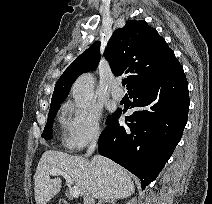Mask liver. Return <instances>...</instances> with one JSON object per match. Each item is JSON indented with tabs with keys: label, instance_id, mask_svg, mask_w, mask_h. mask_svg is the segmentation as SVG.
Segmentation results:
<instances>
[{
	"label": "liver",
	"instance_id": "6515ba94",
	"mask_svg": "<svg viewBox=\"0 0 212 204\" xmlns=\"http://www.w3.org/2000/svg\"><path fill=\"white\" fill-rule=\"evenodd\" d=\"M52 169L67 173L82 197L92 195L97 199L116 200L127 198L135 191L129 173L106 157L95 155L89 161L81 156L47 150L34 175L36 204H47L61 189V178L49 177Z\"/></svg>",
	"mask_w": 212,
	"mask_h": 204
}]
</instances>
